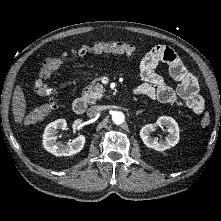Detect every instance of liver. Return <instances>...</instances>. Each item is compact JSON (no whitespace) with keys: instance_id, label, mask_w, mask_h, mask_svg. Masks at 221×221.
Returning <instances> with one entry per match:
<instances>
[{"instance_id":"liver-1","label":"liver","mask_w":221,"mask_h":221,"mask_svg":"<svg viewBox=\"0 0 221 221\" xmlns=\"http://www.w3.org/2000/svg\"><path fill=\"white\" fill-rule=\"evenodd\" d=\"M26 102L20 85H17L12 97V111L16 123H22L25 116Z\"/></svg>"}]
</instances>
